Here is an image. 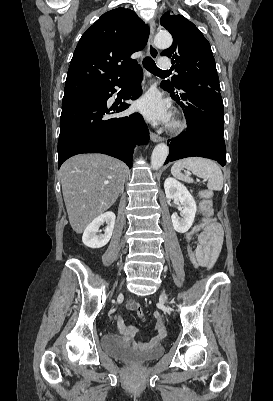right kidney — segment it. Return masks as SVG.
Returning <instances> with one entry per match:
<instances>
[{
	"label": "right kidney",
	"mask_w": 273,
	"mask_h": 401,
	"mask_svg": "<svg viewBox=\"0 0 273 401\" xmlns=\"http://www.w3.org/2000/svg\"><path fill=\"white\" fill-rule=\"evenodd\" d=\"M115 215L108 211V213H104V215H99L97 219H94L88 227H86L82 241L86 247H91V249H100V247H105L107 243H109L114 225H115ZM106 223L107 227L104 231V235H97L99 231V227Z\"/></svg>",
	"instance_id": "1"
}]
</instances>
